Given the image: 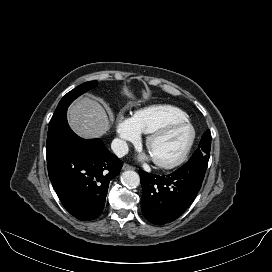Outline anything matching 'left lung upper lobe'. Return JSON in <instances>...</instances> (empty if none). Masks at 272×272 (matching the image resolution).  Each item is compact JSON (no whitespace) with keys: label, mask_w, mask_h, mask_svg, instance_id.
<instances>
[{"label":"left lung upper lobe","mask_w":272,"mask_h":272,"mask_svg":"<svg viewBox=\"0 0 272 272\" xmlns=\"http://www.w3.org/2000/svg\"><path fill=\"white\" fill-rule=\"evenodd\" d=\"M199 148L194 152L189 161L197 159L209 160L210 148H211V133L210 130H207L199 143Z\"/></svg>","instance_id":"obj_1"}]
</instances>
